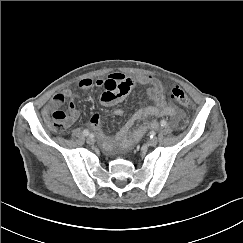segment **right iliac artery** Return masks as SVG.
Returning <instances> with one entry per match:
<instances>
[{"instance_id": "1", "label": "right iliac artery", "mask_w": 243, "mask_h": 243, "mask_svg": "<svg viewBox=\"0 0 243 243\" xmlns=\"http://www.w3.org/2000/svg\"><path fill=\"white\" fill-rule=\"evenodd\" d=\"M83 134H84L85 136L90 135V133H89V131H88L87 129L83 130Z\"/></svg>"}]
</instances>
